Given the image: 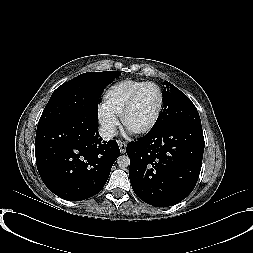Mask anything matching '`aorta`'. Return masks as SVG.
Segmentation results:
<instances>
[{"label": "aorta", "instance_id": "1", "mask_svg": "<svg viewBox=\"0 0 253 253\" xmlns=\"http://www.w3.org/2000/svg\"><path fill=\"white\" fill-rule=\"evenodd\" d=\"M117 164L120 168H126L130 165V158L127 155H120L117 158Z\"/></svg>", "mask_w": 253, "mask_h": 253}]
</instances>
